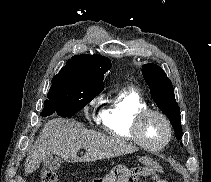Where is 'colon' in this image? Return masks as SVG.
<instances>
[{"mask_svg":"<svg viewBox=\"0 0 211 182\" xmlns=\"http://www.w3.org/2000/svg\"><path fill=\"white\" fill-rule=\"evenodd\" d=\"M163 169L157 164L126 168L119 166L112 169L103 177L93 179L91 182H137L143 177L152 175L157 182H167L162 178ZM41 182H60V176L57 172L48 169L40 170Z\"/></svg>","mask_w":211,"mask_h":182,"instance_id":"obj_1","label":"colon"}]
</instances>
